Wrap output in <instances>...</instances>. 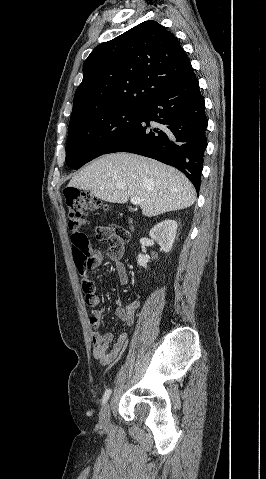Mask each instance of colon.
Returning a JSON list of instances; mask_svg holds the SVG:
<instances>
[{"label": "colon", "instance_id": "colon-1", "mask_svg": "<svg viewBox=\"0 0 266 479\" xmlns=\"http://www.w3.org/2000/svg\"><path fill=\"white\" fill-rule=\"evenodd\" d=\"M65 209L68 216V226L71 232V247L74 264L81 278V287L85 295L86 303L90 306L96 305L98 298L93 281L87 275L91 267L89 239L83 231L87 223L89 211L101 207V201L97 198L81 192L75 188L64 190ZM98 241L109 244H120L125 238L123 228L114 225H97L94 229Z\"/></svg>", "mask_w": 266, "mask_h": 479}]
</instances>
